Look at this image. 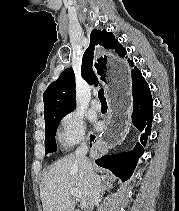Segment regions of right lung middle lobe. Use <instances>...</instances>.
Returning <instances> with one entry per match:
<instances>
[{"label":"right lung middle lobe","instance_id":"obj_1","mask_svg":"<svg viewBox=\"0 0 179 211\" xmlns=\"http://www.w3.org/2000/svg\"><path fill=\"white\" fill-rule=\"evenodd\" d=\"M66 115V114H65ZM65 115H60L51 118L47 122H45V150L46 154L51 153L53 151H56V142H55V133L57 130V127L59 125V122Z\"/></svg>","mask_w":179,"mask_h":211}]
</instances>
